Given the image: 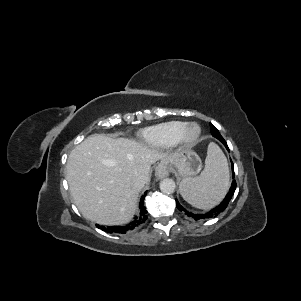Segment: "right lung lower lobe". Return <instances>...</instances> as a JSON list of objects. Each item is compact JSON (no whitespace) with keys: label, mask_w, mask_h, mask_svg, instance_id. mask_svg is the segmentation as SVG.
<instances>
[{"label":"right lung lower lobe","mask_w":301,"mask_h":301,"mask_svg":"<svg viewBox=\"0 0 301 301\" xmlns=\"http://www.w3.org/2000/svg\"><path fill=\"white\" fill-rule=\"evenodd\" d=\"M143 205H144V196H142L141 201H140V206H139L140 216L138 218L135 217V220L130 222L126 226H107L105 228L104 226L97 225V227L108 233H126L127 231L133 230L135 227L143 224L145 222V220L147 219V216H146L147 211Z\"/></svg>","instance_id":"1"}]
</instances>
